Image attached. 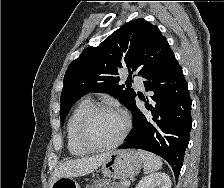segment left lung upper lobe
<instances>
[{"label":"left lung upper lobe","mask_w":224,"mask_h":188,"mask_svg":"<svg viewBox=\"0 0 224 188\" xmlns=\"http://www.w3.org/2000/svg\"><path fill=\"white\" fill-rule=\"evenodd\" d=\"M173 56L156 25L143 18L128 22L69 64L61 93V125L74 103L89 92L108 93L130 108L136 96L129 85L132 72L120 85L118 69L127 67L146 78Z\"/></svg>","instance_id":"5c2ea615"}]
</instances>
